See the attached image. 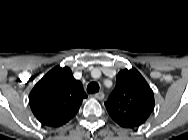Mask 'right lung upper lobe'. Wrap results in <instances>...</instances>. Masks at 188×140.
I'll return each instance as SVG.
<instances>
[{
  "mask_svg": "<svg viewBox=\"0 0 188 140\" xmlns=\"http://www.w3.org/2000/svg\"><path fill=\"white\" fill-rule=\"evenodd\" d=\"M86 97L81 82L68 67H55L34 86L29 104L43 125L60 127L76 115Z\"/></svg>",
  "mask_w": 188,
  "mask_h": 140,
  "instance_id": "right-lung-upper-lobe-1",
  "label": "right lung upper lobe"
}]
</instances>
